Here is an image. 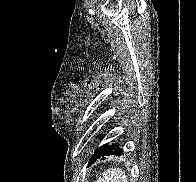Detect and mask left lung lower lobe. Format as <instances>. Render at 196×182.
Here are the masks:
<instances>
[{"instance_id":"1","label":"left lung lower lobe","mask_w":196,"mask_h":182,"mask_svg":"<svg viewBox=\"0 0 196 182\" xmlns=\"http://www.w3.org/2000/svg\"><path fill=\"white\" fill-rule=\"evenodd\" d=\"M123 154H124L123 150L118 145H115V144L108 145L106 143L95 151V153L90 158L88 165L93 164L96 160H98L99 158L103 156H110V155L120 156ZM102 159H105V158H102Z\"/></svg>"}]
</instances>
